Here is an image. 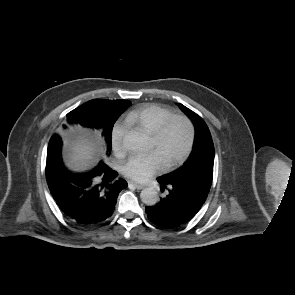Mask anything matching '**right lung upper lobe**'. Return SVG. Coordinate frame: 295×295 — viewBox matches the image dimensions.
I'll return each instance as SVG.
<instances>
[{"mask_svg":"<svg viewBox=\"0 0 295 295\" xmlns=\"http://www.w3.org/2000/svg\"><path fill=\"white\" fill-rule=\"evenodd\" d=\"M116 101L117 100L93 99V100L88 101V103H98L100 105L102 104V105H104V107L106 109H110L115 105ZM67 118H68L69 123H74L73 120L71 119V112L67 114ZM82 126L86 127L85 125H82ZM87 128H91V126H89ZM53 136L59 137L57 134H55Z\"/></svg>","mask_w":295,"mask_h":295,"instance_id":"1","label":"right lung upper lobe"}]
</instances>
